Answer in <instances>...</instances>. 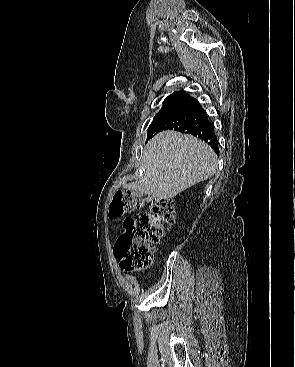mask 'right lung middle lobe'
<instances>
[{
  "instance_id": "1",
  "label": "right lung middle lobe",
  "mask_w": 295,
  "mask_h": 367,
  "mask_svg": "<svg viewBox=\"0 0 295 367\" xmlns=\"http://www.w3.org/2000/svg\"><path fill=\"white\" fill-rule=\"evenodd\" d=\"M190 96L183 91L169 95L163 103V107L154 117L148 128V138L157 130L158 126L178 109Z\"/></svg>"
}]
</instances>
